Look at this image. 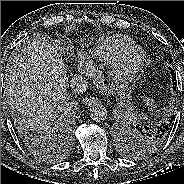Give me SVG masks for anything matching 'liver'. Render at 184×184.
Here are the masks:
<instances>
[{"label": "liver", "mask_w": 184, "mask_h": 184, "mask_svg": "<svg viewBox=\"0 0 184 184\" xmlns=\"http://www.w3.org/2000/svg\"><path fill=\"white\" fill-rule=\"evenodd\" d=\"M67 75L54 45L44 38L26 41L12 54L4 94L28 125L47 131L67 100Z\"/></svg>", "instance_id": "liver-1"}]
</instances>
